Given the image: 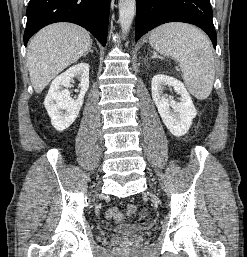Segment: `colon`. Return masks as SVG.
Returning a JSON list of instances; mask_svg holds the SVG:
<instances>
[{
  "label": "colon",
  "instance_id": "1",
  "mask_svg": "<svg viewBox=\"0 0 247 257\" xmlns=\"http://www.w3.org/2000/svg\"><path fill=\"white\" fill-rule=\"evenodd\" d=\"M137 212V207L134 204H128L125 208L126 216L130 217L135 215ZM106 216L108 219L120 221L124 218V215L117 208H110Z\"/></svg>",
  "mask_w": 247,
  "mask_h": 257
}]
</instances>
